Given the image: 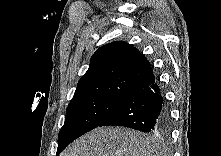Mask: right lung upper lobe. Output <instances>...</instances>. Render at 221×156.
Here are the masks:
<instances>
[{
  "label": "right lung upper lobe",
  "mask_w": 221,
  "mask_h": 156,
  "mask_svg": "<svg viewBox=\"0 0 221 156\" xmlns=\"http://www.w3.org/2000/svg\"><path fill=\"white\" fill-rule=\"evenodd\" d=\"M153 83L155 77L145 56L132 45L115 41L92 55L72 100L94 95L129 98Z\"/></svg>",
  "instance_id": "obj_1"
}]
</instances>
